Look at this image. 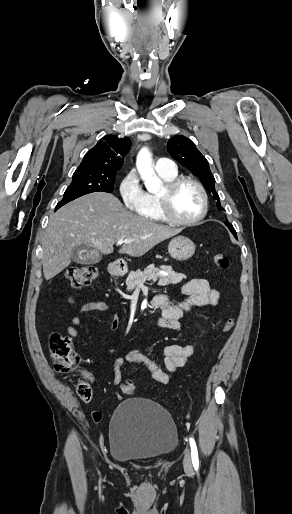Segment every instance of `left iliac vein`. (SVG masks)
Wrapping results in <instances>:
<instances>
[{
    "label": "left iliac vein",
    "instance_id": "4c4485c4",
    "mask_svg": "<svg viewBox=\"0 0 292 514\" xmlns=\"http://www.w3.org/2000/svg\"><path fill=\"white\" fill-rule=\"evenodd\" d=\"M183 464H184V468L186 470H188V471L191 470L192 463H191L190 449L188 447L185 449Z\"/></svg>",
    "mask_w": 292,
    "mask_h": 514
}]
</instances>
